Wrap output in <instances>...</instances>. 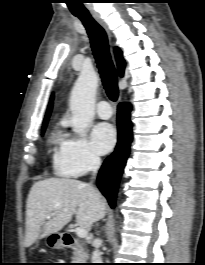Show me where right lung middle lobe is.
<instances>
[{
    "label": "right lung middle lobe",
    "mask_w": 205,
    "mask_h": 265,
    "mask_svg": "<svg viewBox=\"0 0 205 265\" xmlns=\"http://www.w3.org/2000/svg\"><path fill=\"white\" fill-rule=\"evenodd\" d=\"M46 126H43V131L45 130Z\"/></svg>",
    "instance_id": "obj_1"
}]
</instances>
